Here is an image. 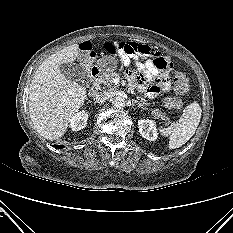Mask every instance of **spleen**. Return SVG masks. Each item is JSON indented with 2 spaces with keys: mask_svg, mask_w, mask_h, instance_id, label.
<instances>
[{
  "mask_svg": "<svg viewBox=\"0 0 233 233\" xmlns=\"http://www.w3.org/2000/svg\"><path fill=\"white\" fill-rule=\"evenodd\" d=\"M201 112L199 103L194 101L185 107L179 122H173L167 128L159 129L163 136H169V149L181 147L195 134L201 119Z\"/></svg>",
  "mask_w": 233,
  "mask_h": 233,
  "instance_id": "obj_1",
  "label": "spleen"
}]
</instances>
